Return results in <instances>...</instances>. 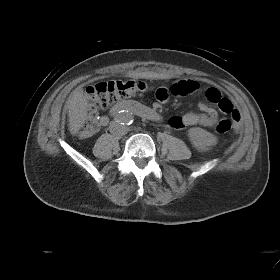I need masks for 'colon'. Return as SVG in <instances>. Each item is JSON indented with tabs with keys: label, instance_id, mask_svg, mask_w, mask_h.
Segmentation results:
<instances>
[{
	"label": "colon",
	"instance_id": "5ec220e1",
	"mask_svg": "<svg viewBox=\"0 0 280 280\" xmlns=\"http://www.w3.org/2000/svg\"><path fill=\"white\" fill-rule=\"evenodd\" d=\"M148 89L149 86L139 80H110L88 87L86 92L92 101V108L85 120V129L95 130L97 128L99 123L98 110L106 108L116 101L143 93ZM206 95L219 108L225 110L226 114L230 115L229 118H224L217 123L215 132L223 134L231 129L238 132L240 130V114L231 108V101L223 98L215 89H209ZM160 97L164 98L165 94L161 92Z\"/></svg>",
	"mask_w": 280,
	"mask_h": 280
}]
</instances>
